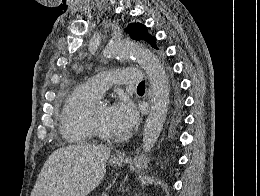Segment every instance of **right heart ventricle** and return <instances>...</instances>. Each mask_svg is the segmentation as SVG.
Instances as JSON below:
<instances>
[{
  "instance_id": "e07e8e85",
  "label": "right heart ventricle",
  "mask_w": 260,
  "mask_h": 196,
  "mask_svg": "<svg viewBox=\"0 0 260 196\" xmlns=\"http://www.w3.org/2000/svg\"><path fill=\"white\" fill-rule=\"evenodd\" d=\"M100 97L88 83L73 87L65 104L61 122V133L68 143L87 144L92 140L93 132L87 120L91 107Z\"/></svg>"
}]
</instances>
